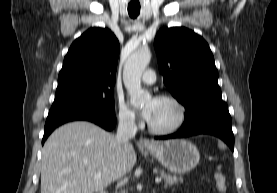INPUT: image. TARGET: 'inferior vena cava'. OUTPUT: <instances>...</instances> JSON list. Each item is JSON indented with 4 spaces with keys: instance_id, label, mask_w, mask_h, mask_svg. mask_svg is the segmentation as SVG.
Instances as JSON below:
<instances>
[{
    "instance_id": "1",
    "label": "inferior vena cava",
    "mask_w": 277,
    "mask_h": 193,
    "mask_svg": "<svg viewBox=\"0 0 277 193\" xmlns=\"http://www.w3.org/2000/svg\"><path fill=\"white\" fill-rule=\"evenodd\" d=\"M136 132L135 116L122 115L119 117L116 139L122 145H127L129 140L135 136Z\"/></svg>"
}]
</instances>
